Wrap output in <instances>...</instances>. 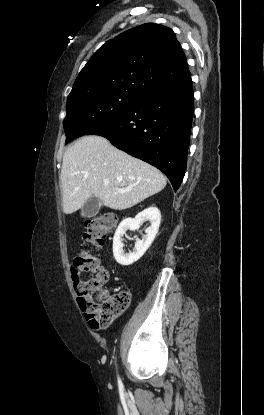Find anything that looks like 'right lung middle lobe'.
Wrapping results in <instances>:
<instances>
[{
	"mask_svg": "<svg viewBox=\"0 0 264 415\" xmlns=\"http://www.w3.org/2000/svg\"><path fill=\"white\" fill-rule=\"evenodd\" d=\"M140 98L131 93L112 91L68 99L63 121L66 143L124 114Z\"/></svg>",
	"mask_w": 264,
	"mask_h": 415,
	"instance_id": "dd1d6c3e",
	"label": "right lung middle lobe"
}]
</instances>
